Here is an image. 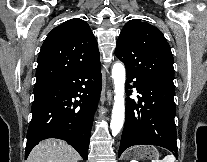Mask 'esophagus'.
<instances>
[{
    "mask_svg": "<svg viewBox=\"0 0 207 162\" xmlns=\"http://www.w3.org/2000/svg\"><path fill=\"white\" fill-rule=\"evenodd\" d=\"M106 97H107V100L110 102L112 100V92L111 90H107L106 92Z\"/></svg>",
    "mask_w": 207,
    "mask_h": 162,
    "instance_id": "1",
    "label": "esophagus"
}]
</instances>
